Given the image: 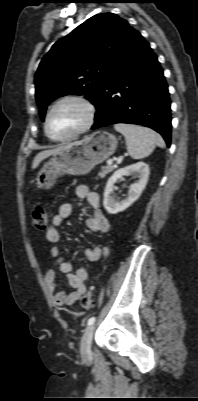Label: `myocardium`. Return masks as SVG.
I'll use <instances>...</instances> for the list:
<instances>
[{
  "label": "myocardium",
  "instance_id": "obj_1",
  "mask_svg": "<svg viewBox=\"0 0 198 401\" xmlns=\"http://www.w3.org/2000/svg\"><path fill=\"white\" fill-rule=\"evenodd\" d=\"M65 102H76V103L80 104L86 111V120H85L84 124L74 133L64 136V137L55 138L49 132V119H50L52 112L55 110V108ZM95 118H96V106L89 98H87L83 95L64 96V97L58 99L57 101H55L52 104V106L49 108V110L47 111V114L45 117V123H44L45 133H46L47 137L49 139H51L52 141L66 142V141L72 140V139L82 135L83 133L87 132L93 126V124L95 122Z\"/></svg>",
  "mask_w": 198,
  "mask_h": 401
}]
</instances>
